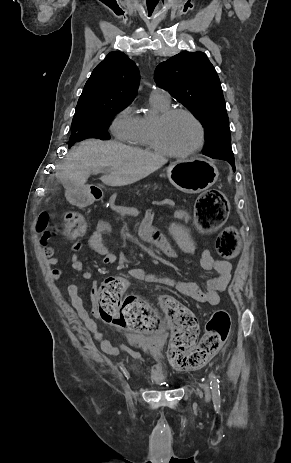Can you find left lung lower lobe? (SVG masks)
Segmentation results:
<instances>
[{"instance_id":"left-lung-lower-lobe-1","label":"left lung lower lobe","mask_w":291,"mask_h":463,"mask_svg":"<svg viewBox=\"0 0 291 463\" xmlns=\"http://www.w3.org/2000/svg\"><path fill=\"white\" fill-rule=\"evenodd\" d=\"M217 159H221V160H226L227 162H229L233 168V170L235 171V161H234V158H227V157H219Z\"/></svg>"}]
</instances>
